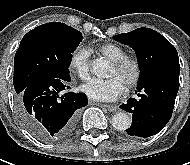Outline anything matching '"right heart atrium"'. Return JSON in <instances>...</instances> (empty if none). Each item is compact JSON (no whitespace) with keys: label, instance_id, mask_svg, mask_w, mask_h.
Segmentation results:
<instances>
[{"label":"right heart atrium","instance_id":"d8ad5b80","mask_svg":"<svg viewBox=\"0 0 190 165\" xmlns=\"http://www.w3.org/2000/svg\"><path fill=\"white\" fill-rule=\"evenodd\" d=\"M90 54L85 48L74 50L69 58V70L80 80L87 81L90 78Z\"/></svg>","mask_w":190,"mask_h":165}]
</instances>
